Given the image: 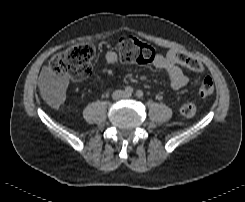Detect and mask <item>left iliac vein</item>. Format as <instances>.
Instances as JSON below:
<instances>
[{
    "mask_svg": "<svg viewBox=\"0 0 245 202\" xmlns=\"http://www.w3.org/2000/svg\"><path fill=\"white\" fill-rule=\"evenodd\" d=\"M125 97H126V98H129V97H131V95L126 94Z\"/></svg>",
    "mask_w": 245,
    "mask_h": 202,
    "instance_id": "1",
    "label": "left iliac vein"
}]
</instances>
